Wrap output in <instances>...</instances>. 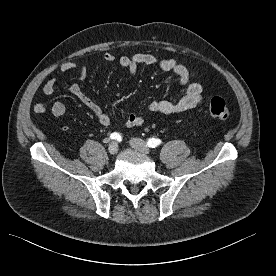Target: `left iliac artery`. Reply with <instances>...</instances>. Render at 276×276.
<instances>
[{
    "instance_id": "obj_1",
    "label": "left iliac artery",
    "mask_w": 276,
    "mask_h": 276,
    "mask_svg": "<svg viewBox=\"0 0 276 276\" xmlns=\"http://www.w3.org/2000/svg\"><path fill=\"white\" fill-rule=\"evenodd\" d=\"M160 144H161V140L160 139L150 138L147 141V145L149 147H151V148H155V147H157Z\"/></svg>"
}]
</instances>
